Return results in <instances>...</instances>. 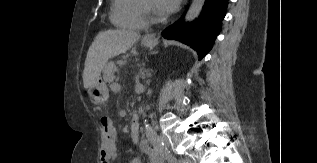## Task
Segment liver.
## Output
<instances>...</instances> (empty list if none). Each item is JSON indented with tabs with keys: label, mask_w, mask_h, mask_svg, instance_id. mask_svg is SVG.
Instances as JSON below:
<instances>
[{
	"label": "liver",
	"mask_w": 317,
	"mask_h": 163,
	"mask_svg": "<svg viewBox=\"0 0 317 163\" xmlns=\"http://www.w3.org/2000/svg\"><path fill=\"white\" fill-rule=\"evenodd\" d=\"M140 38V34L127 30L109 29L97 34L87 52L83 70L85 89L94 86L100 79L101 71L107 61L125 53Z\"/></svg>",
	"instance_id": "6515ba94"
}]
</instances>
